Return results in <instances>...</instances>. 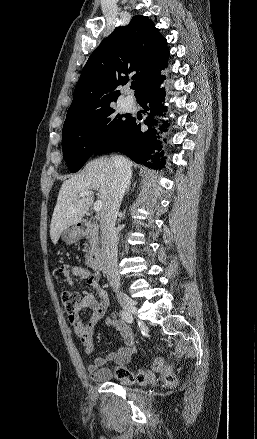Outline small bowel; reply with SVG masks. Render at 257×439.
<instances>
[{
  "label": "small bowel",
  "instance_id": "small-bowel-1",
  "mask_svg": "<svg viewBox=\"0 0 257 439\" xmlns=\"http://www.w3.org/2000/svg\"><path fill=\"white\" fill-rule=\"evenodd\" d=\"M60 273L71 289H75L73 277L85 280L93 289V292H85L74 311L68 313V320L76 336L81 341L85 355L91 356L94 353V328L103 318L109 305L107 292L99 284V275L93 274L85 268L63 265L60 268ZM85 309L91 311L89 321L86 324L80 316L81 311ZM106 325L119 332L122 344L109 352L105 357H93L91 362L87 364L86 371L95 382H105L113 378L116 370L120 367H125L135 352L132 331L124 321L108 318ZM108 362L116 364L115 371L105 367Z\"/></svg>",
  "mask_w": 257,
  "mask_h": 439
}]
</instances>
